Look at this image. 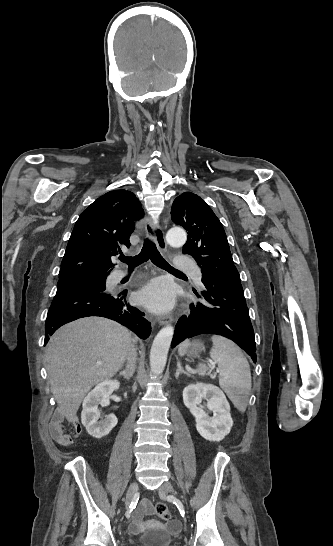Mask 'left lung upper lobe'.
Instances as JSON below:
<instances>
[{"mask_svg":"<svg viewBox=\"0 0 333 546\" xmlns=\"http://www.w3.org/2000/svg\"><path fill=\"white\" fill-rule=\"evenodd\" d=\"M171 218L188 231L183 253L196 260L206 279L213 284H241L222 224L205 201L194 193H182L173 202Z\"/></svg>","mask_w":333,"mask_h":546,"instance_id":"left-lung-upper-lobe-1","label":"left lung upper lobe"}]
</instances>
